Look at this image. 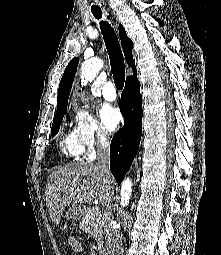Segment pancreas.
I'll return each mask as SVG.
<instances>
[{
	"instance_id": "1",
	"label": "pancreas",
	"mask_w": 221,
	"mask_h": 255,
	"mask_svg": "<svg viewBox=\"0 0 221 255\" xmlns=\"http://www.w3.org/2000/svg\"><path fill=\"white\" fill-rule=\"evenodd\" d=\"M80 228L96 238L97 244H102L101 212L95 208H86L80 221Z\"/></svg>"
}]
</instances>
